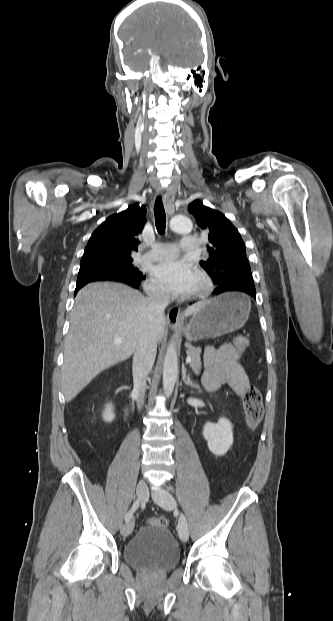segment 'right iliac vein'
Wrapping results in <instances>:
<instances>
[{"label":"right iliac vein","mask_w":333,"mask_h":621,"mask_svg":"<svg viewBox=\"0 0 333 621\" xmlns=\"http://www.w3.org/2000/svg\"><path fill=\"white\" fill-rule=\"evenodd\" d=\"M146 482L144 479L139 480L138 484H137V488H136V495L138 497V499L140 500H144L146 498ZM134 528V521L130 520L129 522H127L126 524H124L121 528V534L124 537H128Z\"/></svg>","instance_id":"63e3f726"}]
</instances>
